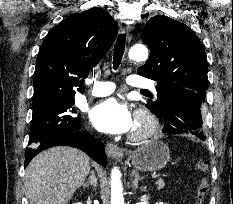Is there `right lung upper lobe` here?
Segmentation results:
<instances>
[{
  "label": "right lung upper lobe",
  "instance_id": "1",
  "mask_svg": "<svg viewBox=\"0 0 233 204\" xmlns=\"http://www.w3.org/2000/svg\"><path fill=\"white\" fill-rule=\"evenodd\" d=\"M118 24L102 8L68 16L50 30L37 56L32 103L83 93L91 68L107 53Z\"/></svg>",
  "mask_w": 233,
  "mask_h": 204
}]
</instances>
